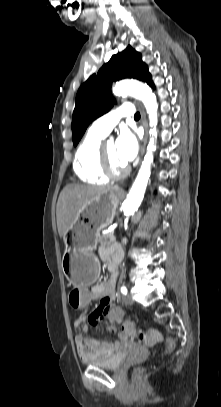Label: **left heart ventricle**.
<instances>
[{
    "instance_id": "obj_1",
    "label": "left heart ventricle",
    "mask_w": 221,
    "mask_h": 407,
    "mask_svg": "<svg viewBox=\"0 0 221 407\" xmlns=\"http://www.w3.org/2000/svg\"><path fill=\"white\" fill-rule=\"evenodd\" d=\"M106 154L109 158V161L112 167L116 170L122 169L125 165L118 159L116 153V145L111 142L105 145Z\"/></svg>"
}]
</instances>
